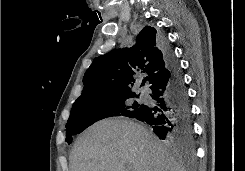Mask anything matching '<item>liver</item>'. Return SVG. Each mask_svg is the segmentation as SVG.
Listing matches in <instances>:
<instances>
[{"label": "liver", "instance_id": "obj_1", "mask_svg": "<svg viewBox=\"0 0 245 171\" xmlns=\"http://www.w3.org/2000/svg\"><path fill=\"white\" fill-rule=\"evenodd\" d=\"M70 171H185L142 125L106 119L85 130L70 156Z\"/></svg>", "mask_w": 245, "mask_h": 171}]
</instances>
